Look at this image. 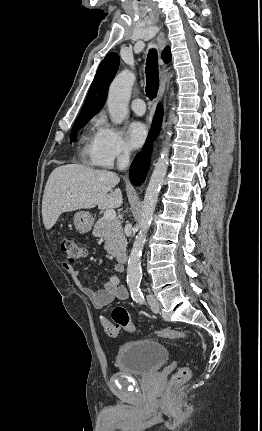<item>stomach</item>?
<instances>
[{
  "label": "stomach",
  "instance_id": "0dacf381",
  "mask_svg": "<svg viewBox=\"0 0 262 431\" xmlns=\"http://www.w3.org/2000/svg\"><path fill=\"white\" fill-rule=\"evenodd\" d=\"M73 219H74L75 228L80 233L89 232L94 223V219L92 215L87 211L76 212Z\"/></svg>",
  "mask_w": 262,
  "mask_h": 431
}]
</instances>
